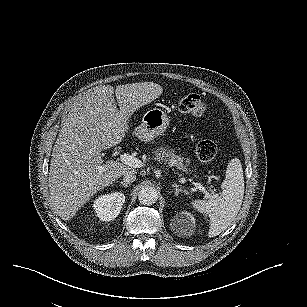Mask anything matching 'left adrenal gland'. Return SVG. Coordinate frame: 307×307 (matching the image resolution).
Listing matches in <instances>:
<instances>
[{
    "instance_id": "1",
    "label": "left adrenal gland",
    "mask_w": 307,
    "mask_h": 307,
    "mask_svg": "<svg viewBox=\"0 0 307 307\" xmlns=\"http://www.w3.org/2000/svg\"><path fill=\"white\" fill-rule=\"evenodd\" d=\"M172 187H173L174 190H175V191H174L175 196H178L179 193H185V194L188 193L186 190H183V189H182L181 185H178V184H176V183H173V184H172Z\"/></svg>"
}]
</instances>
